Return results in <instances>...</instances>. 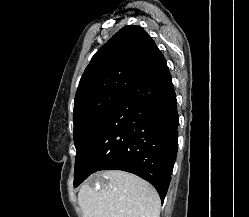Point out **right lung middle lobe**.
Returning <instances> with one entry per match:
<instances>
[{
  "label": "right lung middle lobe",
  "mask_w": 249,
  "mask_h": 217,
  "mask_svg": "<svg viewBox=\"0 0 249 217\" xmlns=\"http://www.w3.org/2000/svg\"><path fill=\"white\" fill-rule=\"evenodd\" d=\"M124 96L125 93L121 92H107L74 107V183L80 177L79 165L92 139Z\"/></svg>",
  "instance_id": "dd1d6c3e"
}]
</instances>
